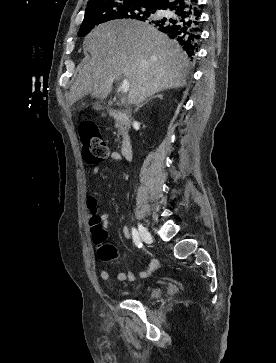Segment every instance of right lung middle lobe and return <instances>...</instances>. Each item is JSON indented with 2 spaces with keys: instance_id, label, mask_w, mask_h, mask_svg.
Masks as SVG:
<instances>
[{
  "instance_id": "1",
  "label": "right lung middle lobe",
  "mask_w": 276,
  "mask_h": 363,
  "mask_svg": "<svg viewBox=\"0 0 276 363\" xmlns=\"http://www.w3.org/2000/svg\"><path fill=\"white\" fill-rule=\"evenodd\" d=\"M156 7L129 0H102L87 5L79 36H85L95 26L114 19L131 18L144 21L154 14Z\"/></svg>"
}]
</instances>
